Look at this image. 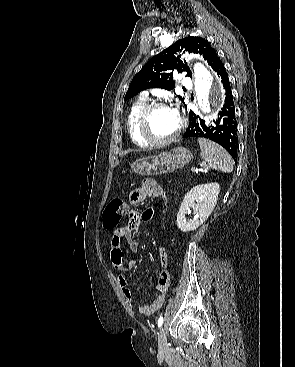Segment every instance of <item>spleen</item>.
Listing matches in <instances>:
<instances>
[{
  "label": "spleen",
  "mask_w": 295,
  "mask_h": 367,
  "mask_svg": "<svg viewBox=\"0 0 295 367\" xmlns=\"http://www.w3.org/2000/svg\"><path fill=\"white\" fill-rule=\"evenodd\" d=\"M198 141L204 168H211L225 173L232 172L233 160L224 148L210 140L199 139Z\"/></svg>",
  "instance_id": "3e777b00"
}]
</instances>
